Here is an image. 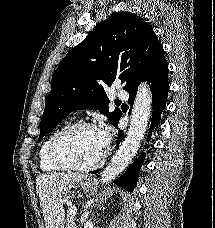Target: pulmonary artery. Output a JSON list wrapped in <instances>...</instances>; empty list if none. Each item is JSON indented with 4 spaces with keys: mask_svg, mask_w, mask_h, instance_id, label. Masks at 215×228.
<instances>
[{
    "mask_svg": "<svg viewBox=\"0 0 215 228\" xmlns=\"http://www.w3.org/2000/svg\"><path fill=\"white\" fill-rule=\"evenodd\" d=\"M113 96H126V84H113ZM120 102H129V97H120Z\"/></svg>",
    "mask_w": 215,
    "mask_h": 228,
    "instance_id": "e3ab8cb5",
    "label": "pulmonary artery"
}]
</instances>
